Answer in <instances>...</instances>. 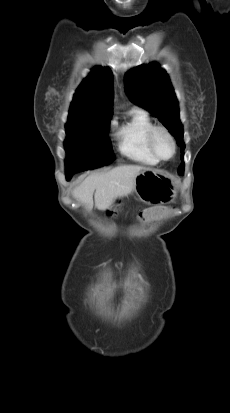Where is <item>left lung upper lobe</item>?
<instances>
[{"instance_id":"1","label":"left lung upper lobe","mask_w":230,"mask_h":413,"mask_svg":"<svg viewBox=\"0 0 230 413\" xmlns=\"http://www.w3.org/2000/svg\"><path fill=\"white\" fill-rule=\"evenodd\" d=\"M124 86L129 98L158 117L183 150L185 144L178 101L168 74L156 63L141 65L125 75ZM183 171L184 162L178 168V173L183 174Z\"/></svg>"}]
</instances>
